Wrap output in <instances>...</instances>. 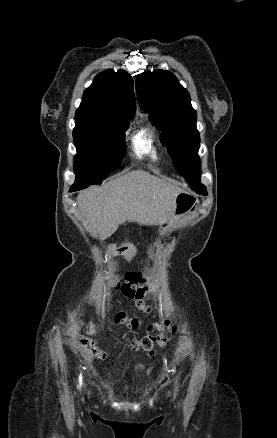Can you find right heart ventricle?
<instances>
[{"instance_id":"e07e8e85","label":"right heart ventricle","mask_w":277,"mask_h":438,"mask_svg":"<svg viewBox=\"0 0 277 438\" xmlns=\"http://www.w3.org/2000/svg\"><path fill=\"white\" fill-rule=\"evenodd\" d=\"M133 146L136 154L150 153L154 155L152 135L148 130H142L133 137Z\"/></svg>"}]
</instances>
